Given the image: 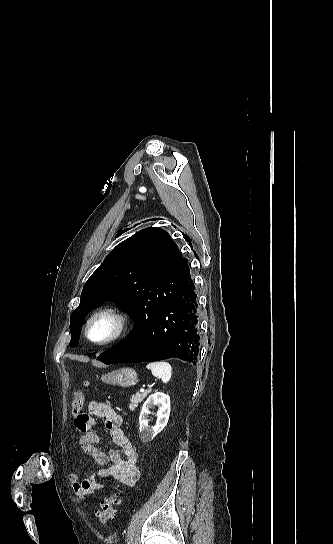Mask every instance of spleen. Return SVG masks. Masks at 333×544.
Wrapping results in <instances>:
<instances>
[{
    "label": "spleen",
    "mask_w": 333,
    "mask_h": 544,
    "mask_svg": "<svg viewBox=\"0 0 333 544\" xmlns=\"http://www.w3.org/2000/svg\"><path fill=\"white\" fill-rule=\"evenodd\" d=\"M146 368L152 372L153 376L161 378L163 383H167L171 379L172 367L167 362H151L147 364Z\"/></svg>",
    "instance_id": "1"
}]
</instances>
